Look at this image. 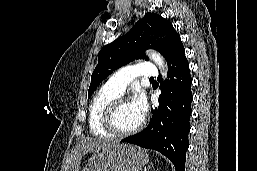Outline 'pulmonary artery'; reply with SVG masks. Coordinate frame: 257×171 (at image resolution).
Here are the masks:
<instances>
[{
	"instance_id": "pulmonary-artery-1",
	"label": "pulmonary artery",
	"mask_w": 257,
	"mask_h": 171,
	"mask_svg": "<svg viewBox=\"0 0 257 171\" xmlns=\"http://www.w3.org/2000/svg\"><path fill=\"white\" fill-rule=\"evenodd\" d=\"M140 76L155 78L158 76V70L151 62L128 65L114 72L107 80L106 85L119 94H123L127 85Z\"/></svg>"
}]
</instances>
